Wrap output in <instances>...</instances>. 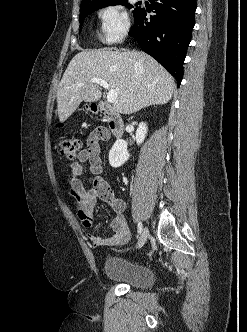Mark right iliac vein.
Instances as JSON below:
<instances>
[{
  "mask_svg": "<svg viewBox=\"0 0 247 332\" xmlns=\"http://www.w3.org/2000/svg\"><path fill=\"white\" fill-rule=\"evenodd\" d=\"M148 235H149V231L147 228H145L138 240V243H137V248H141L147 241V238H148Z\"/></svg>",
  "mask_w": 247,
  "mask_h": 332,
  "instance_id": "1",
  "label": "right iliac vein"
}]
</instances>
